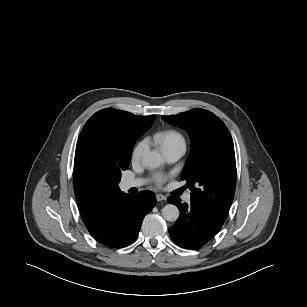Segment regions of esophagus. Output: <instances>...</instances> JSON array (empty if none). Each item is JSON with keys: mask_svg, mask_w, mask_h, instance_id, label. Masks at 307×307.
Segmentation results:
<instances>
[{"mask_svg": "<svg viewBox=\"0 0 307 307\" xmlns=\"http://www.w3.org/2000/svg\"><path fill=\"white\" fill-rule=\"evenodd\" d=\"M156 200L157 201H164V200H166V196L163 195V194H157L156 195Z\"/></svg>", "mask_w": 307, "mask_h": 307, "instance_id": "34e87169", "label": "esophagus"}]
</instances>
